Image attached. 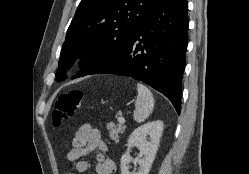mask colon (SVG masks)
I'll list each match as a JSON object with an SVG mask.
<instances>
[{"label": "colon", "mask_w": 249, "mask_h": 174, "mask_svg": "<svg viewBox=\"0 0 249 174\" xmlns=\"http://www.w3.org/2000/svg\"><path fill=\"white\" fill-rule=\"evenodd\" d=\"M84 98L82 90L72 88L62 92L55 104L53 111V121L56 125L71 118L79 109Z\"/></svg>", "instance_id": "colon-1"}]
</instances>
